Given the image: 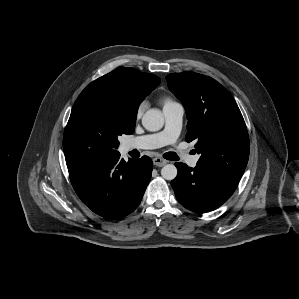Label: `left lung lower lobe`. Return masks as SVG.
I'll return each instance as SVG.
<instances>
[{
  "label": "left lung lower lobe",
  "instance_id": "1",
  "mask_svg": "<svg viewBox=\"0 0 299 299\" xmlns=\"http://www.w3.org/2000/svg\"><path fill=\"white\" fill-rule=\"evenodd\" d=\"M177 177L171 181L177 200L185 208L205 213L212 211L234 193L239 180L209 171L203 167L190 168L176 163Z\"/></svg>",
  "mask_w": 299,
  "mask_h": 299
}]
</instances>
